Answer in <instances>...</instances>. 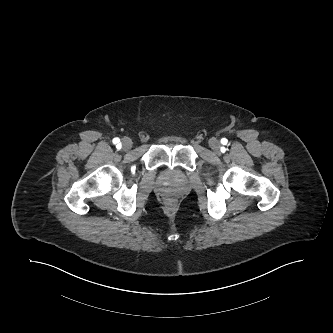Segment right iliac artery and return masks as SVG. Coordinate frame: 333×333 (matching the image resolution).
<instances>
[{"instance_id": "1", "label": "right iliac artery", "mask_w": 333, "mask_h": 333, "mask_svg": "<svg viewBox=\"0 0 333 333\" xmlns=\"http://www.w3.org/2000/svg\"><path fill=\"white\" fill-rule=\"evenodd\" d=\"M113 143L117 144L118 146H120V139L119 138H114L113 139Z\"/></svg>"}]
</instances>
